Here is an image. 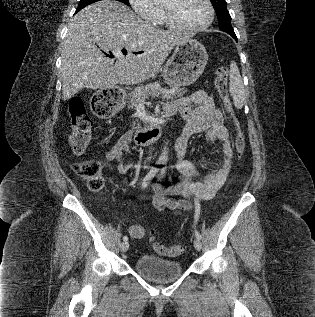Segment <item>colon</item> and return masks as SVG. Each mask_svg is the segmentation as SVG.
Returning a JSON list of instances; mask_svg holds the SVG:
<instances>
[{
  "label": "colon",
  "mask_w": 315,
  "mask_h": 317,
  "mask_svg": "<svg viewBox=\"0 0 315 317\" xmlns=\"http://www.w3.org/2000/svg\"><path fill=\"white\" fill-rule=\"evenodd\" d=\"M229 69L222 65L216 71L215 86L224 104L226 111L231 116L236 128L235 151L238 159H241L245 151V137L240 128L238 120L232 110V104L228 92ZM118 95H104L103 90L95 94L92 100L94 113L101 118L109 117L114 110ZM69 115L71 120L70 147L75 156H82L86 153L92 138L93 120L88 114L83 101L79 97L71 100L69 105ZM74 172L81 177L90 190L99 192L104 186V177L101 163L96 159H88L73 164ZM150 241L157 252L168 257L179 256L183 252L181 245L163 246L155 242L153 233Z\"/></svg>",
  "instance_id": "colon-1"
}]
</instances>
